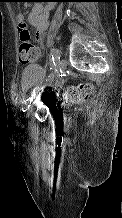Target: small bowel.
<instances>
[{"label":"small bowel","mask_w":122,"mask_h":218,"mask_svg":"<svg viewBox=\"0 0 122 218\" xmlns=\"http://www.w3.org/2000/svg\"><path fill=\"white\" fill-rule=\"evenodd\" d=\"M54 5L52 3H47L45 6L42 4H36L31 9V12L28 16V21L35 28V38L39 43H42L45 36V31L49 27V13L53 9ZM18 22L24 21V16L22 13L17 15ZM41 50H38V56L41 57Z\"/></svg>","instance_id":"obj_1"}]
</instances>
